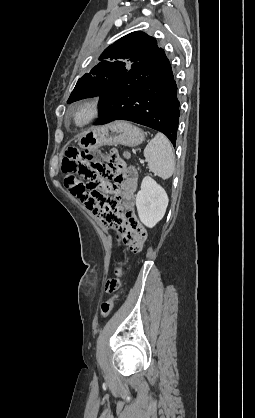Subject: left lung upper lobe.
Masks as SVG:
<instances>
[{"label": "left lung upper lobe", "instance_id": "left-lung-upper-lobe-1", "mask_svg": "<svg viewBox=\"0 0 255 418\" xmlns=\"http://www.w3.org/2000/svg\"><path fill=\"white\" fill-rule=\"evenodd\" d=\"M159 47L155 38L144 32H132L110 45L101 54L100 62L82 76L67 103L102 96L113 88L124 75L152 56Z\"/></svg>", "mask_w": 255, "mask_h": 418}]
</instances>
